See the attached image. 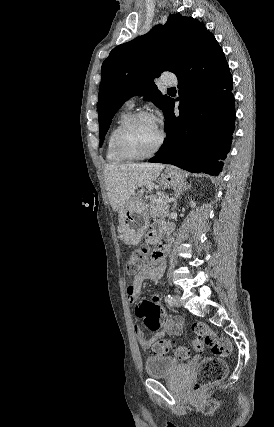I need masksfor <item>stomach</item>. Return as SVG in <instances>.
Returning <instances> with one entry per match:
<instances>
[{
  "mask_svg": "<svg viewBox=\"0 0 274 427\" xmlns=\"http://www.w3.org/2000/svg\"><path fill=\"white\" fill-rule=\"evenodd\" d=\"M157 184L162 188H182L186 182L184 174L175 166H167ZM146 204L142 200H131L129 206H123L119 210V231L126 243L136 245L142 239L149 223V215L146 212Z\"/></svg>",
  "mask_w": 274,
  "mask_h": 427,
  "instance_id": "0dacf381",
  "label": "stomach"
}]
</instances>
